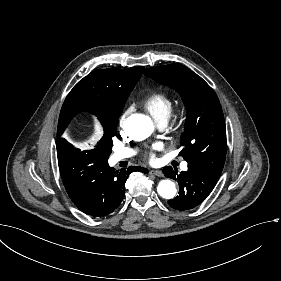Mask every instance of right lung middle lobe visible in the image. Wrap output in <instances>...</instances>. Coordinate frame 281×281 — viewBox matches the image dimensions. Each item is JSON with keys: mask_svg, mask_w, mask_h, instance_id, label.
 Returning a JSON list of instances; mask_svg holds the SVG:
<instances>
[{"mask_svg": "<svg viewBox=\"0 0 281 281\" xmlns=\"http://www.w3.org/2000/svg\"><path fill=\"white\" fill-rule=\"evenodd\" d=\"M119 117H102L100 122L104 128V135L97 143V151L105 158H109L112 150V138L117 134V125Z\"/></svg>", "mask_w": 281, "mask_h": 281, "instance_id": "dd1d6c3e", "label": "right lung middle lobe"}]
</instances>
